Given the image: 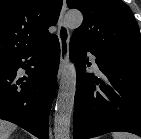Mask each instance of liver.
Listing matches in <instances>:
<instances>
[{
	"label": "liver",
	"mask_w": 141,
	"mask_h": 139,
	"mask_svg": "<svg viewBox=\"0 0 141 139\" xmlns=\"http://www.w3.org/2000/svg\"><path fill=\"white\" fill-rule=\"evenodd\" d=\"M17 128L11 122L0 119V139H9L10 134Z\"/></svg>",
	"instance_id": "1"
}]
</instances>
